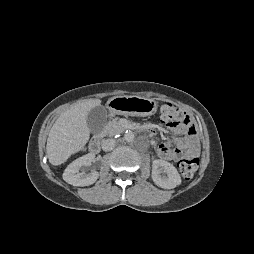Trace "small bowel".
<instances>
[{
	"label": "small bowel",
	"instance_id": "1",
	"mask_svg": "<svg viewBox=\"0 0 254 254\" xmlns=\"http://www.w3.org/2000/svg\"><path fill=\"white\" fill-rule=\"evenodd\" d=\"M147 127L153 132L152 126ZM177 134H186L185 136L175 137L172 140H167L161 143L158 147V155L160 158L168 161H176L185 152L190 155H195L198 152V144L193 135L188 133L186 127H177L174 129ZM172 144L176 148L171 149Z\"/></svg>",
	"mask_w": 254,
	"mask_h": 254
}]
</instances>
